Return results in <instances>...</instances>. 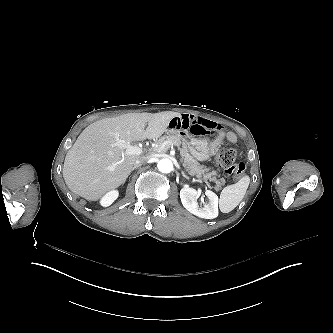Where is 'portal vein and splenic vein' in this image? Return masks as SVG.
<instances>
[{
    "label": "portal vein and splenic vein",
    "mask_w": 333,
    "mask_h": 333,
    "mask_svg": "<svg viewBox=\"0 0 333 333\" xmlns=\"http://www.w3.org/2000/svg\"><path fill=\"white\" fill-rule=\"evenodd\" d=\"M166 144L177 147L176 143L171 141L164 142L163 144L156 146L153 148L152 153H158L164 150V146ZM116 146L124 147L126 149L127 154L130 155H143L145 151L143 150L142 145H130L127 140L117 139Z\"/></svg>",
    "instance_id": "portal-vein-and-splenic-vein-1"
}]
</instances>
